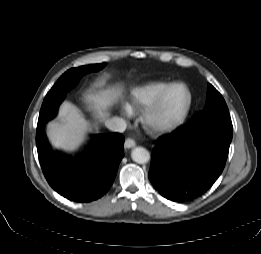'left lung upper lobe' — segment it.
<instances>
[{"instance_id":"obj_1","label":"left lung upper lobe","mask_w":261,"mask_h":254,"mask_svg":"<svg viewBox=\"0 0 261 254\" xmlns=\"http://www.w3.org/2000/svg\"><path fill=\"white\" fill-rule=\"evenodd\" d=\"M207 121L231 122L225 100L211 84H208L207 101L203 111L195 115L189 122L195 125Z\"/></svg>"}]
</instances>
